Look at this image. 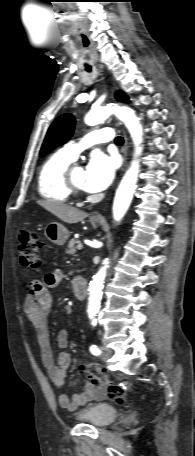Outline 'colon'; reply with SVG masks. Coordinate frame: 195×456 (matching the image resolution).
<instances>
[{
  "instance_id": "obj_1",
  "label": "colon",
  "mask_w": 195,
  "mask_h": 456,
  "mask_svg": "<svg viewBox=\"0 0 195 456\" xmlns=\"http://www.w3.org/2000/svg\"><path fill=\"white\" fill-rule=\"evenodd\" d=\"M43 243L38 236L31 231H23L19 237V253L21 263L33 270H39L42 266L40 249ZM81 373L88 376L92 382L107 385V395L118 404L127 403L128 384H114L109 382L107 373L103 367L96 363H86L80 366Z\"/></svg>"
}]
</instances>
